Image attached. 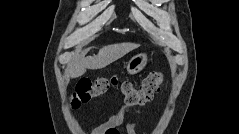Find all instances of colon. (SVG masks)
<instances>
[{"mask_svg":"<svg viewBox=\"0 0 239 134\" xmlns=\"http://www.w3.org/2000/svg\"><path fill=\"white\" fill-rule=\"evenodd\" d=\"M162 81L163 78L160 72L150 73L138 88H135L130 81L121 80L117 76H101L93 79L83 77L78 81L76 89L72 94L71 107L78 109L93 98L104 94L111 87H118L120 89L127 104L145 105L160 91Z\"/></svg>","mask_w":239,"mask_h":134,"instance_id":"1","label":"colon"}]
</instances>
